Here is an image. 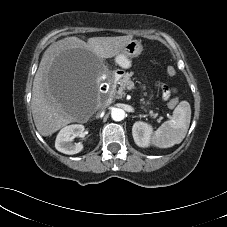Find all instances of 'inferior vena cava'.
Instances as JSON below:
<instances>
[{
	"instance_id": "1",
	"label": "inferior vena cava",
	"mask_w": 227,
	"mask_h": 227,
	"mask_svg": "<svg viewBox=\"0 0 227 227\" xmlns=\"http://www.w3.org/2000/svg\"><path fill=\"white\" fill-rule=\"evenodd\" d=\"M107 106V103L101 104L98 106L99 112L103 111Z\"/></svg>"
}]
</instances>
